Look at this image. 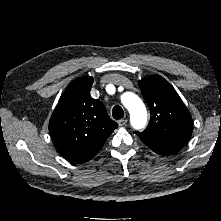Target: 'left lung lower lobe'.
<instances>
[{
    "mask_svg": "<svg viewBox=\"0 0 221 221\" xmlns=\"http://www.w3.org/2000/svg\"><path fill=\"white\" fill-rule=\"evenodd\" d=\"M136 134L144 144L160 155L174 154L178 152L188 141L187 139L181 138L168 139L145 132H137Z\"/></svg>",
    "mask_w": 221,
    "mask_h": 221,
    "instance_id": "1",
    "label": "left lung lower lobe"
}]
</instances>
